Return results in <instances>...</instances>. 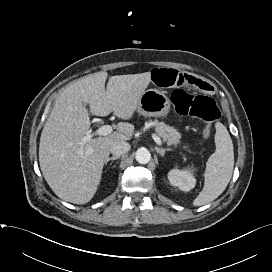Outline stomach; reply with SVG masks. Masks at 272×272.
<instances>
[{"mask_svg": "<svg viewBox=\"0 0 272 272\" xmlns=\"http://www.w3.org/2000/svg\"><path fill=\"white\" fill-rule=\"evenodd\" d=\"M170 100L160 90L148 89L140 97L137 112L148 117H164L170 111Z\"/></svg>", "mask_w": 272, "mask_h": 272, "instance_id": "stomach-1", "label": "stomach"}]
</instances>
